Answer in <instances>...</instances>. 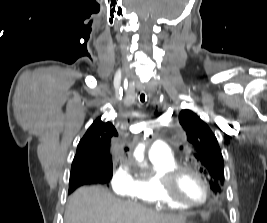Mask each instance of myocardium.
Here are the masks:
<instances>
[{
	"label": "myocardium",
	"instance_id": "myocardium-1",
	"mask_svg": "<svg viewBox=\"0 0 267 223\" xmlns=\"http://www.w3.org/2000/svg\"><path fill=\"white\" fill-rule=\"evenodd\" d=\"M184 172H191L195 174L203 183L205 188V196L202 201L194 202L187 200L181 197L177 192L176 185L178 179ZM160 185L162 194L166 200L188 208H198L204 205L209 200L211 195L210 184L204 174L199 169L188 164H176L174 167L164 172L160 178Z\"/></svg>",
	"mask_w": 267,
	"mask_h": 223
}]
</instances>
